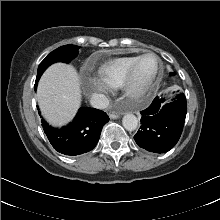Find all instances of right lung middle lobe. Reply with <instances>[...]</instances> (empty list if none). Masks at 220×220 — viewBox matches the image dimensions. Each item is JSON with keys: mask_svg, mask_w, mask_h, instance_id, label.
Returning <instances> with one entry per match:
<instances>
[{"mask_svg": "<svg viewBox=\"0 0 220 220\" xmlns=\"http://www.w3.org/2000/svg\"><path fill=\"white\" fill-rule=\"evenodd\" d=\"M80 47L76 45H64L52 51L39 65L37 77H40L48 66L55 62H70L78 54Z\"/></svg>", "mask_w": 220, "mask_h": 220, "instance_id": "1", "label": "right lung middle lobe"}]
</instances>
